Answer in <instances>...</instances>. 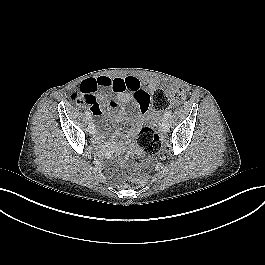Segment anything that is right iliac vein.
Returning <instances> with one entry per match:
<instances>
[{
	"label": "right iliac vein",
	"mask_w": 265,
	"mask_h": 265,
	"mask_svg": "<svg viewBox=\"0 0 265 265\" xmlns=\"http://www.w3.org/2000/svg\"><path fill=\"white\" fill-rule=\"evenodd\" d=\"M87 130L90 134H94L95 133V126L92 122H89L88 123V127H87Z\"/></svg>",
	"instance_id": "1"
}]
</instances>
